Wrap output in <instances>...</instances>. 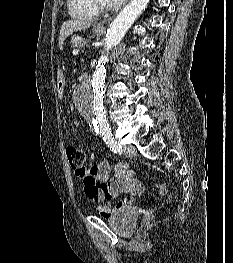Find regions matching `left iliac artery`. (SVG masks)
<instances>
[{"instance_id": "1", "label": "left iliac artery", "mask_w": 233, "mask_h": 263, "mask_svg": "<svg viewBox=\"0 0 233 263\" xmlns=\"http://www.w3.org/2000/svg\"><path fill=\"white\" fill-rule=\"evenodd\" d=\"M103 140L105 141V143L107 144V146L110 148L111 151H113L114 153H121L122 152V147L120 144H118L110 129L104 130L103 132H101Z\"/></svg>"}]
</instances>
